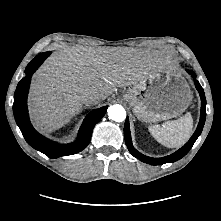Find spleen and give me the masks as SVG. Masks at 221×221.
Returning a JSON list of instances; mask_svg holds the SVG:
<instances>
[{"label": "spleen", "mask_w": 221, "mask_h": 221, "mask_svg": "<svg viewBox=\"0 0 221 221\" xmlns=\"http://www.w3.org/2000/svg\"><path fill=\"white\" fill-rule=\"evenodd\" d=\"M150 134L162 145L177 148L184 145L190 138L193 130V118L190 113L177 120L167 121L161 126L150 125Z\"/></svg>", "instance_id": "obj_1"}]
</instances>
